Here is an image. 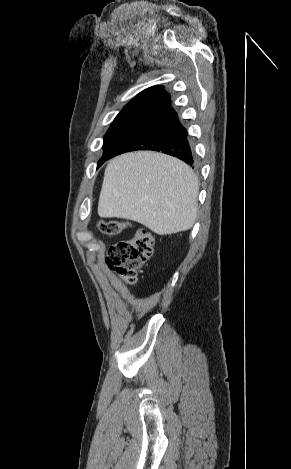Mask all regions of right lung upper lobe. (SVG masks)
<instances>
[{
  "mask_svg": "<svg viewBox=\"0 0 291 469\" xmlns=\"http://www.w3.org/2000/svg\"><path fill=\"white\" fill-rule=\"evenodd\" d=\"M171 106V97L162 86H152L140 92L120 113L135 112L155 116Z\"/></svg>",
  "mask_w": 291,
  "mask_h": 469,
  "instance_id": "cb5924a9",
  "label": "right lung upper lobe"
}]
</instances>
